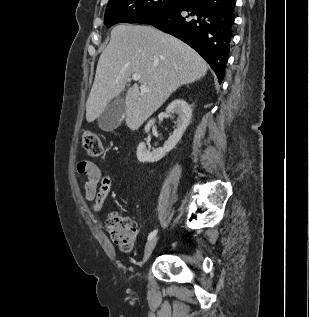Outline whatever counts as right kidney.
Returning a JSON list of instances; mask_svg holds the SVG:
<instances>
[{"label": "right kidney", "instance_id": "ca27d5eb", "mask_svg": "<svg viewBox=\"0 0 309 317\" xmlns=\"http://www.w3.org/2000/svg\"><path fill=\"white\" fill-rule=\"evenodd\" d=\"M166 113L168 114H177L178 118L174 122L176 128L173 134L168 138L166 144L162 148L154 149L150 151L147 149L146 144L141 142L137 147V159L141 163L145 162H157L162 159L168 152H170L178 144L180 139L183 136L184 131L190 124L192 117V110L188 103L182 99H176L171 102L166 108ZM155 120H150L145 126V132H149L152 125H154Z\"/></svg>", "mask_w": 309, "mask_h": 317}]
</instances>
